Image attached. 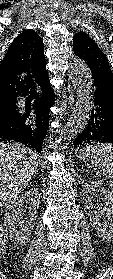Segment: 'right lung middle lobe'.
<instances>
[{
  "instance_id": "1",
  "label": "right lung middle lobe",
  "mask_w": 113,
  "mask_h": 279,
  "mask_svg": "<svg viewBox=\"0 0 113 279\" xmlns=\"http://www.w3.org/2000/svg\"><path fill=\"white\" fill-rule=\"evenodd\" d=\"M16 106L13 105L8 108L0 109V124L7 122L9 119L14 117L16 113Z\"/></svg>"
}]
</instances>
